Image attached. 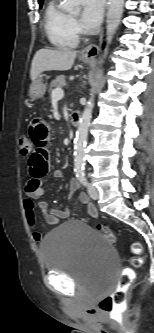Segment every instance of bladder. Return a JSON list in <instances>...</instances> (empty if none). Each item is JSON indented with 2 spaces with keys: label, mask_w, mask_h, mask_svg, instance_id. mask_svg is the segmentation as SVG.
I'll return each mask as SVG.
<instances>
[{
  "label": "bladder",
  "mask_w": 154,
  "mask_h": 333,
  "mask_svg": "<svg viewBox=\"0 0 154 333\" xmlns=\"http://www.w3.org/2000/svg\"><path fill=\"white\" fill-rule=\"evenodd\" d=\"M47 271L69 276L84 288L110 289L117 271V254L108 240L82 221L52 229L40 244Z\"/></svg>",
  "instance_id": "1"
}]
</instances>
